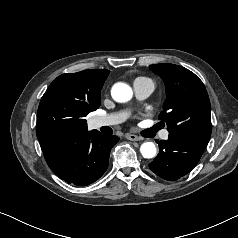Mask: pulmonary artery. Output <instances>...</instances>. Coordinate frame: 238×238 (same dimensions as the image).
<instances>
[{
  "label": "pulmonary artery",
  "mask_w": 238,
  "mask_h": 238,
  "mask_svg": "<svg viewBox=\"0 0 238 238\" xmlns=\"http://www.w3.org/2000/svg\"><path fill=\"white\" fill-rule=\"evenodd\" d=\"M133 87L135 95L139 99H145L154 91L155 85L152 80H137L133 83ZM125 117L126 115L124 113H115L96 117L94 122L96 127L111 126L122 122ZM168 135V131H164L162 138L167 139Z\"/></svg>",
  "instance_id": "pulmonary-artery-1"
}]
</instances>
